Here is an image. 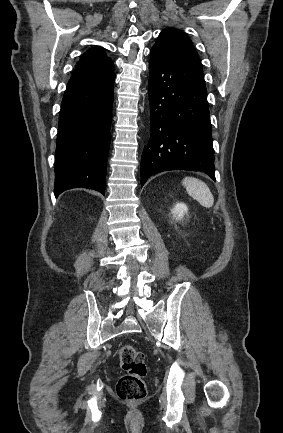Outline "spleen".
Instances as JSON below:
<instances>
[{
	"instance_id": "spleen-1",
	"label": "spleen",
	"mask_w": 283,
	"mask_h": 433,
	"mask_svg": "<svg viewBox=\"0 0 283 433\" xmlns=\"http://www.w3.org/2000/svg\"><path fill=\"white\" fill-rule=\"evenodd\" d=\"M182 184L185 186L188 194L196 198L202 206H206V208L212 206L214 202L213 194L205 182H202L199 178H193V176H185Z\"/></svg>"
}]
</instances>
